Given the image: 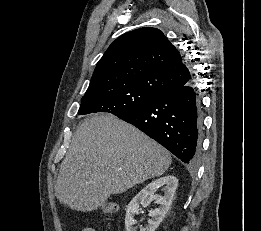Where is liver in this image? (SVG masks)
I'll list each match as a JSON object with an SVG mask.
<instances>
[{"label": "liver", "mask_w": 261, "mask_h": 231, "mask_svg": "<svg viewBox=\"0 0 261 231\" xmlns=\"http://www.w3.org/2000/svg\"><path fill=\"white\" fill-rule=\"evenodd\" d=\"M170 153L112 114H93L79 124L55 184L58 200L72 210L104 206L112 194L161 176Z\"/></svg>", "instance_id": "6515ba94"}]
</instances>
